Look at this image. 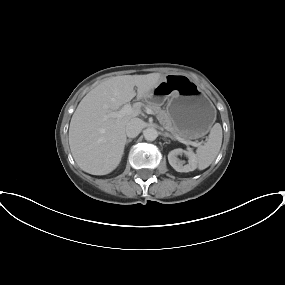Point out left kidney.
<instances>
[{
    "label": "left kidney",
    "mask_w": 285,
    "mask_h": 285,
    "mask_svg": "<svg viewBox=\"0 0 285 285\" xmlns=\"http://www.w3.org/2000/svg\"><path fill=\"white\" fill-rule=\"evenodd\" d=\"M185 155L188 158V164L178 159V155ZM169 164L178 172H190L197 168V160L195 154L191 150L174 149L168 154Z\"/></svg>",
    "instance_id": "left-kidney-1"
}]
</instances>
